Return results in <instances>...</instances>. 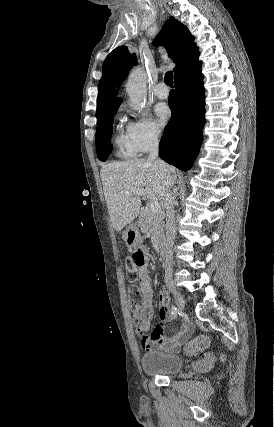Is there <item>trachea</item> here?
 Returning a JSON list of instances; mask_svg holds the SVG:
<instances>
[{"instance_id":"3493384b","label":"trachea","mask_w":274,"mask_h":427,"mask_svg":"<svg viewBox=\"0 0 274 427\" xmlns=\"http://www.w3.org/2000/svg\"><path fill=\"white\" fill-rule=\"evenodd\" d=\"M165 83L169 87L173 88V73L172 72L166 73V75H165Z\"/></svg>"}]
</instances>
